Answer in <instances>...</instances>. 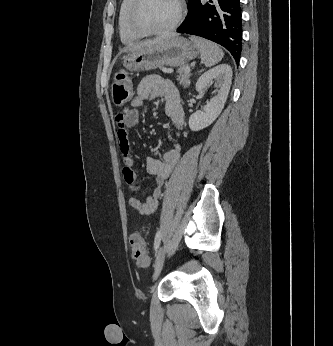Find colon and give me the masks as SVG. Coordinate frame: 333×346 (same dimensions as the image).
Here are the masks:
<instances>
[{"label":"colon","instance_id":"5ec220e1","mask_svg":"<svg viewBox=\"0 0 333 346\" xmlns=\"http://www.w3.org/2000/svg\"><path fill=\"white\" fill-rule=\"evenodd\" d=\"M131 84L125 72L117 74L113 85L112 95L113 101L117 106L125 105L131 97ZM130 247L133 259L141 267H147L150 264V259L147 255L146 242L141 234L134 233L130 237Z\"/></svg>","mask_w":333,"mask_h":346}]
</instances>
